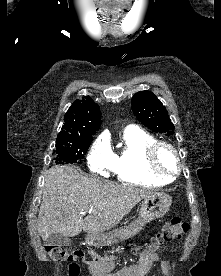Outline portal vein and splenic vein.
<instances>
[{"instance_id": "obj_1", "label": "portal vein and splenic vein", "mask_w": 221, "mask_h": 276, "mask_svg": "<svg viewBox=\"0 0 221 276\" xmlns=\"http://www.w3.org/2000/svg\"><path fill=\"white\" fill-rule=\"evenodd\" d=\"M90 211H91V209H89V210H85L83 213L90 212Z\"/></svg>"}]
</instances>
